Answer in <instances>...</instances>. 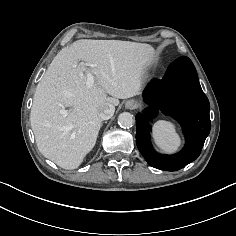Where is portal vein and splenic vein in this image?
I'll return each instance as SVG.
<instances>
[{"label": "portal vein and splenic vein", "instance_id": "portal-vein-and-splenic-vein-1", "mask_svg": "<svg viewBox=\"0 0 236 236\" xmlns=\"http://www.w3.org/2000/svg\"><path fill=\"white\" fill-rule=\"evenodd\" d=\"M81 64H83V63H81ZM87 78H88L87 83H88L89 86H91L94 83L93 76L90 73H88ZM60 113L63 114V115H67L68 111L65 110V109H61Z\"/></svg>", "mask_w": 236, "mask_h": 236}]
</instances>
